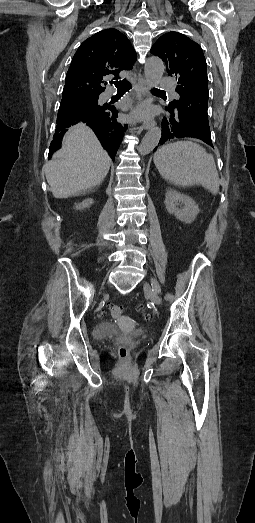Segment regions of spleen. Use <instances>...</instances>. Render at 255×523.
<instances>
[{
	"mask_svg": "<svg viewBox=\"0 0 255 523\" xmlns=\"http://www.w3.org/2000/svg\"><path fill=\"white\" fill-rule=\"evenodd\" d=\"M154 164L162 178L175 186H197L217 194L219 176L211 154L194 142H175L154 154Z\"/></svg>",
	"mask_w": 255,
	"mask_h": 523,
	"instance_id": "1",
	"label": "spleen"
}]
</instances>
